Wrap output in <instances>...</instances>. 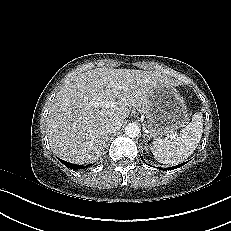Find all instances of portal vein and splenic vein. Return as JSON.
<instances>
[{
  "instance_id": "18ae733b",
  "label": "portal vein and splenic vein",
  "mask_w": 231,
  "mask_h": 231,
  "mask_svg": "<svg viewBox=\"0 0 231 231\" xmlns=\"http://www.w3.org/2000/svg\"><path fill=\"white\" fill-rule=\"evenodd\" d=\"M116 103L114 101H106V102H94V105H100L103 107H113Z\"/></svg>"
}]
</instances>
